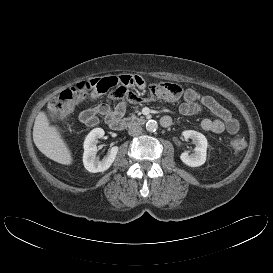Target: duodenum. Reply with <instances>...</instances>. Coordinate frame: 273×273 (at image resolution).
Segmentation results:
<instances>
[{"instance_id":"obj_1","label":"duodenum","mask_w":273,"mask_h":273,"mask_svg":"<svg viewBox=\"0 0 273 273\" xmlns=\"http://www.w3.org/2000/svg\"><path fill=\"white\" fill-rule=\"evenodd\" d=\"M107 123L112 130L120 131L131 126H142L145 125L147 119L141 116H134L128 118H120L113 115H108L106 117ZM171 121L167 118H161V125L163 127L170 126Z\"/></svg>"}]
</instances>
